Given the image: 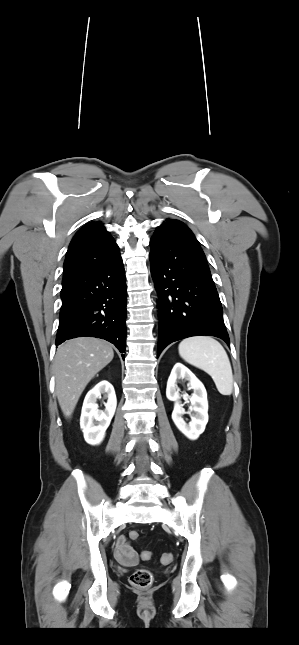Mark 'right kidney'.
Segmentation results:
<instances>
[{
    "label": "right kidney",
    "instance_id": "right-kidney-1",
    "mask_svg": "<svg viewBox=\"0 0 299 645\" xmlns=\"http://www.w3.org/2000/svg\"><path fill=\"white\" fill-rule=\"evenodd\" d=\"M101 394H105L107 398L104 410L98 409L97 404V399L101 397ZM116 405L114 388L106 380L99 382L87 393L82 406L80 427L88 444L98 445L103 441L105 431L114 416Z\"/></svg>",
    "mask_w": 299,
    "mask_h": 645
}]
</instances>
